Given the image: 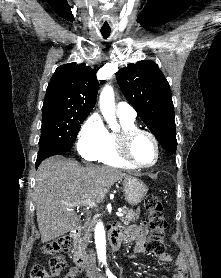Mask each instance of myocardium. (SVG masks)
<instances>
[{
	"label": "myocardium",
	"instance_id": "obj_1",
	"mask_svg": "<svg viewBox=\"0 0 221 278\" xmlns=\"http://www.w3.org/2000/svg\"><path fill=\"white\" fill-rule=\"evenodd\" d=\"M138 134L147 135L154 144L156 157L154 162L150 165L139 164L136 161H134L130 156L129 151H130L131 142ZM116 150L119 157L122 159V161H124L126 164L130 165L131 167L137 169H149L154 167L158 163L161 155L160 145L156 136L152 132L146 129H141L137 127L124 129L117 135Z\"/></svg>",
	"mask_w": 221,
	"mask_h": 278
}]
</instances>
